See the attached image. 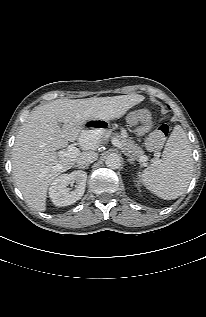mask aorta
I'll use <instances>...</instances> for the list:
<instances>
[{
	"label": "aorta",
	"instance_id": "aorta-1",
	"mask_svg": "<svg viewBox=\"0 0 206 317\" xmlns=\"http://www.w3.org/2000/svg\"><path fill=\"white\" fill-rule=\"evenodd\" d=\"M105 164L110 169H118L121 166V158L118 154L111 153L106 157Z\"/></svg>",
	"mask_w": 206,
	"mask_h": 317
}]
</instances>
